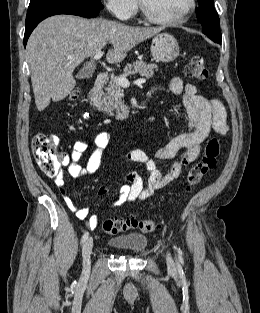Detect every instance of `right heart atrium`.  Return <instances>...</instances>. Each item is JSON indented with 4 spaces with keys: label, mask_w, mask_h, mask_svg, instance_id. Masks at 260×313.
Listing matches in <instances>:
<instances>
[{
    "label": "right heart atrium",
    "mask_w": 260,
    "mask_h": 313,
    "mask_svg": "<svg viewBox=\"0 0 260 313\" xmlns=\"http://www.w3.org/2000/svg\"><path fill=\"white\" fill-rule=\"evenodd\" d=\"M109 12L119 19H128L136 9L135 0H103Z\"/></svg>",
    "instance_id": "d8ad5b80"
}]
</instances>
